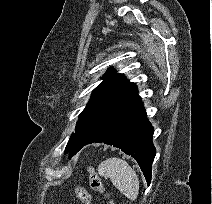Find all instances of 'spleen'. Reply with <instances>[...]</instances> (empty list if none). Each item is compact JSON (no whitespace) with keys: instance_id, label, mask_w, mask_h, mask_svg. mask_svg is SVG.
<instances>
[{"instance_id":"obj_1","label":"spleen","mask_w":212,"mask_h":204,"mask_svg":"<svg viewBox=\"0 0 212 204\" xmlns=\"http://www.w3.org/2000/svg\"><path fill=\"white\" fill-rule=\"evenodd\" d=\"M100 176L109 178L128 199L134 201L139 194V179L135 170L122 159L110 157L98 166Z\"/></svg>"}]
</instances>
